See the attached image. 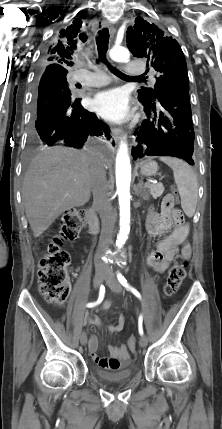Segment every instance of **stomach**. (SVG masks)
<instances>
[{
    "label": "stomach",
    "instance_id": "0dacf381",
    "mask_svg": "<svg viewBox=\"0 0 222 429\" xmlns=\"http://www.w3.org/2000/svg\"><path fill=\"white\" fill-rule=\"evenodd\" d=\"M158 171V164L153 160H145L140 163V173L144 176H153Z\"/></svg>",
    "mask_w": 222,
    "mask_h": 429
}]
</instances>
